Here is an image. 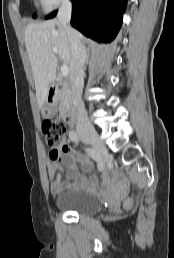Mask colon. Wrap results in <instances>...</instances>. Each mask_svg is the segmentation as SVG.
Here are the masks:
<instances>
[{"instance_id": "1", "label": "colon", "mask_w": 174, "mask_h": 258, "mask_svg": "<svg viewBox=\"0 0 174 258\" xmlns=\"http://www.w3.org/2000/svg\"><path fill=\"white\" fill-rule=\"evenodd\" d=\"M42 131L45 135L47 144L51 147H56L60 143L63 135L65 134L66 127L64 123L61 121L45 120L42 124ZM53 149L54 150L52 151V155L54 157H57L58 151L55 150V148ZM131 202H132L131 198L127 199L124 202V206L125 207L130 206Z\"/></svg>"}]
</instances>
